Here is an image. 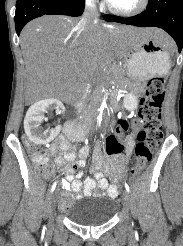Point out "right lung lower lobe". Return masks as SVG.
Returning a JSON list of instances; mask_svg holds the SVG:
<instances>
[{
    "label": "right lung lower lobe",
    "mask_w": 183,
    "mask_h": 246,
    "mask_svg": "<svg viewBox=\"0 0 183 246\" xmlns=\"http://www.w3.org/2000/svg\"><path fill=\"white\" fill-rule=\"evenodd\" d=\"M84 0H17L15 26L17 35L30 20L43 15L80 16L84 11Z\"/></svg>",
    "instance_id": "right-lung-lower-lobe-1"
}]
</instances>
